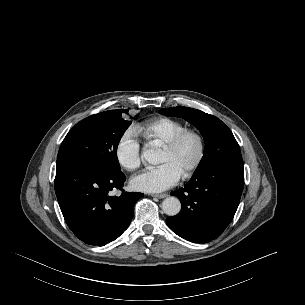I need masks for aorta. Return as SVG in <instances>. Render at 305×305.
<instances>
[{"label": "aorta", "mask_w": 305, "mask_h": 305, "mask_svg": "<svg viewBox=\"0 0 305 305\" xmlns=\"http://www.w3.org/2000/svg\"><path fill=\"white\" fill-rule=\"evenodd\" d=\"M161 151L157 148H148L144 150L142 158L149 164H159ZM163 211L169 216L177 215L181 210L180 200L176 197H167L162 202Z\"/></svg>", "instance_id": "obj_1"}]
</instances>
